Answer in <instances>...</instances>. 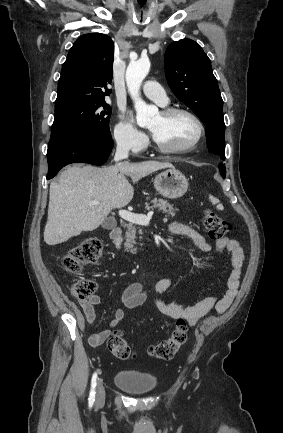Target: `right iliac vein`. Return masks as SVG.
<instances>
[{
  "label": "right iliac vein",
  "mask_w": 283,
  "mask_h": 433,
  "mask_svg": "<svg viewBox=\"0 0 283 433\" xmlns=\"http://www.w3.org/2000/svg\"><path fill=\"white\" fill-rule=\"evenodd\" d=\"M105 402V389L102 383V380H98L96 385V401L95 404L97 407H100Z\"/></svg>",
  "instance_id": "63e3f726"
}]
</instances>
